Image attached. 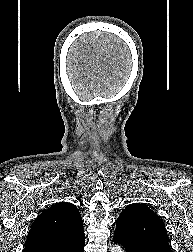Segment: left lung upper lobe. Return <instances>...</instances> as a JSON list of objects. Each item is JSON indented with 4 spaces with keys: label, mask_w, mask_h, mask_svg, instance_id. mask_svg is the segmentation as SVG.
<instances>
[{
    "label": "left lung upper lobe",
    "mask_w": 193,
    "mask_h": 252,
    "mask_svg": "<svg viewBox=\"0 0 193 252\" xmlns=\"http://www.w3.org/2000/svg\"><path fill=\"white\" fill-rule=\"evenodd\" d=\"M125 243L163 242L169 244L165 225L160 217L142 204H130L116 220L114 232Z\"/></svg>",
    "instance_id": "obj_1"
}]
</instances>
